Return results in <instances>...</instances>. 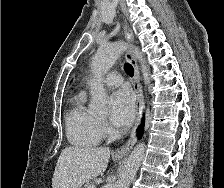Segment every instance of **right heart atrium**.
Masks as SVG:
<instances>
[{"mask_svg": "<svg viewBox=\"0 0 224 188\" xmlns=\"http://www.w3.org/2000/svg\"><path fill=\"white\" fill-rule=\"evenodd\" d=\"M100 126L102 130L104 131L108 130L107 124L104 121H100Z\"/></svg>", "mask_w": 224, "mask_h": 188, "instance_id": "right-heart-atrium-1", "label": "right heart atrium"}]
</instances>
